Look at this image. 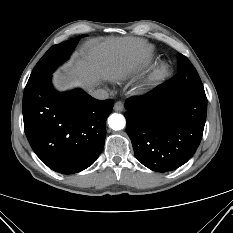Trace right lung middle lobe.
<instances>
[{"label": "right lung middle lobe", "mask_w": 233, "mask_h": 233, "mask_svg": "<svg viewBox=\"0 0 233 233\" xmlns=\"http://www.w3.org/2000/svg\"><path fill=\"white\" fill-rule=\"evenodd\" d=\"M79 38H72L52 46L36 64L25 88H30L44 77L49 76L59 64L68 58Z\"/></svg>", "instance_id": "dd1d6c3e"}]
</instances>
